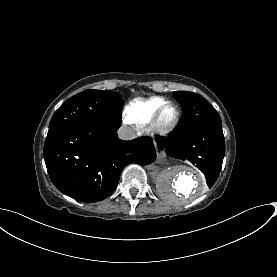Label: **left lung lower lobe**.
I'll use <instances>...</instances> for the list:
<instances>
[{"mask_svg":"<svg viewBox=\"0 0 277 277\" xmlns=\"http://www.w3.org/2000/svg\"><path fill=\"white\" fill-rule=\"evenodd\" d=\"M159 149L176 159L189 160L205 177L209 188L216 182L225 154L222 123L177 130L167 137H156Z\"/></svg>","mask_w":277,"mask_h":277,"instance_id":"0a47b994","label":"left lung lower lobe"}]
</instances>
